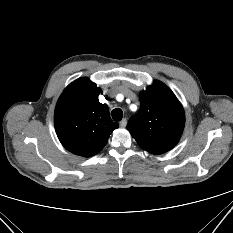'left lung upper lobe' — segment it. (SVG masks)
<instances>
[{
    "label": "left lung upper lobe",
    "mask_w": 233,
    "mask_h": 233,
    "mask_svg": "<svg viewBox=\"0 0 233 233\" xmlns=\"http://www.w3.org/2000/svg\"><path fill=\"white\" fill-rule=\"evenodd\" d=\"M141 106L130 118L127 129L138 144L158 155L172 149L180 139L185 124L182 105L162 82L154 81L140 93Z\"/></svg>",
    "instance_id": "5c2ea615"
}]
</instances>
